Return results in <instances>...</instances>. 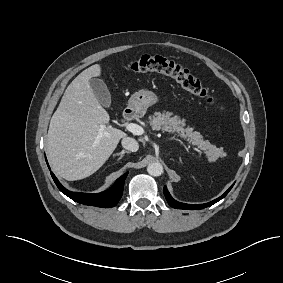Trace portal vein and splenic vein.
I'll list each match as a JSON object with an SVG mask.
<instances>
[{"label":"portal vein and splenic vein","mask_w":283,"mask_h":283,"mask_svg":"<svg viewBox=\"0 0 283 283\" xmlns=\"http://www.w3.org/2000/svg\"><path fill=\"white\" fill-rule=\"evenodd\" d=\"M126 129L128 131H130L131 133H133L134 135H142V134H144V129L141 126H139V125H137L135 123H128V124H126ZM194 149L197 150L196 148H194Z\"/></svg>","instance_id":"obj_1"}]
</instances>
